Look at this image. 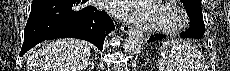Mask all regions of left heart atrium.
Wrapping results in <instances>:
<instances>
[{"instance_id": "39dd6f15", "label": "left heart atrium", "mask_w": 230, "mask_h": 71, "mask_svg": "<svg viewBox=\"0 0 230 71\" xmlns=\"http://www.w3.org/2000/svg\"><path fill=\"white\" fill-rule=\"evenodd\" d=\"M105 3L110 11L136 23L152 21L156 16L152 0H106Z\"/></svg>"}]
</instances>
